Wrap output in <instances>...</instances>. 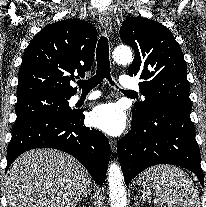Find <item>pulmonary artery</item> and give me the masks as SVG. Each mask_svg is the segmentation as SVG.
Instances as JSON below:
<instances>
[{
    "instance_id": "e3ab8cb5",
    "label": "pulmonary artery",
    "mask_w": 206,
    "mask_h": 207,
    "mask_svg": "<svg viewBox=\"0 0 206 207\" xmlns=\"http://www.w3.org/2000/svg\"><path fill=\"white\" fill-rule=\"evenodd\" d=\"M119 81L126 88H129L132 90H138V85L136 83H134L132 81L131 77H129L127 75H122L120 77ZM101 96H102V93L100 91H92V92L88 93L85 97H82L81 95H76L74 97V100L79 101V100L83 99L85 101H92V100L100 98Z\"/></svg>"
}]
</instances>
